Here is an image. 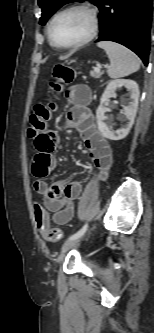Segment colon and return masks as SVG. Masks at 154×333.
<instances>
[{
  "label": "colon",
  "mask_w": 154,
  "mask_h": 333,
  "mask_svg": "<svg viewBox=\"0 0 154 333\" xmlns=\"http://www.w3.org/2000/svg\"><path fill=\"white\" fill-rule=\"evenodd\" d=\"M74 79V70L70 66L57 65L54 69V80L50 82V89L53 92H60L64 84H69ZM56 109L54 101L37 104L29 119L28 137L34 139L46 125ZM34 219L36 226L42 236L50 241L59 240L62 232L59 228L51 227L47 210L40 204L34 206Z\"/></svg>",
  "instance_id": "colon-1"
}]
</instances>
